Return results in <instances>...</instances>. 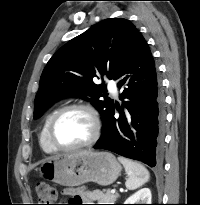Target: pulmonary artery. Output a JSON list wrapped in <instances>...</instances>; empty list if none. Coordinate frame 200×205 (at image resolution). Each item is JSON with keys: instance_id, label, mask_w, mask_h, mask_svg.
I'll use <instances>...</instances> for the list:
<instances>
[{"instance_id": "1", "label": "pulmonary artery", "mask_w": 200, "mask_h": 205, "mask_svg": "<svg viewBox=\"0 0 200 205\" xmlns=\"http://www.w3.org/2000/svg\"><path fill=\"white\" fill-rule=\"evenodd\" d=\"M108 89L113 95H117V86L114 81H109L108 82Z\"/></svg>"}]
</instances>
